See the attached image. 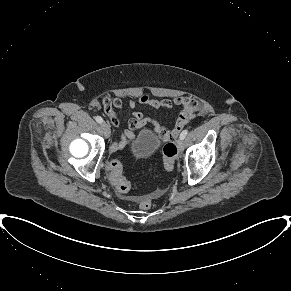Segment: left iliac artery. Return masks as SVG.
<instances>
[{
	"instance_id": "44dca946",
	"label": "left iliac artery",
	"mask_w": 291,
	"mask_h": 291,
	"mask_svg": "<svg viewBox=\"0 0 291 291\" xmlns=\"http://www.w3.org/2000/svg\"><path fill=\"white\" fill-rule=\"evenodd\" d=\"M187 134H188V129L183 130L182 133L180 134V138L184 139L187 136Z\"/></svg>"
}]
</instances>
